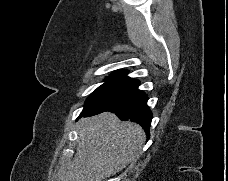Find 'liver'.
<instances>
[{"label":"liver","instance_id":"6515ba94","mask_svg":"<svg viewBox=\"0 0 228 181\" xmlns=\"http://www.w3.org/2000/svg\"><path fill=\"white\" fill-rule=\"evenodd\" d=\"M72 163L60 167L55 181H103L139 159L146 135L136 123L101 113L79 121Z\"/></svg>","mask_w":228,"mask_h":181}]
</instances>
